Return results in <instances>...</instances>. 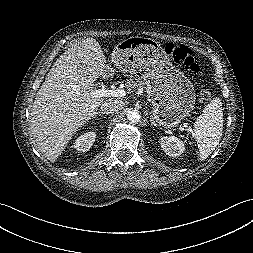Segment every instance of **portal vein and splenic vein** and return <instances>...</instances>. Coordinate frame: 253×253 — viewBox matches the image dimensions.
<instances>
[{
    "label": "portal vein and splenic vein",
    "instance_id": "portal-vein-and-splenic-vein-1",
    "mask_svg": "<svg viewBox=\"0 0 253 253\" xmlns=\"http://www.w3.org/2000/svg\"><path fill=\"white\" fill-rule=\"evenodd\" d=\"M93 97H124L126 91L122 89H107L104 86L102 88L94 90L91 92ZM184 127H187V124H184Z\"/></svg>",
    "mask_w": 253,
    "mask_h": 253
}]
</instances>
